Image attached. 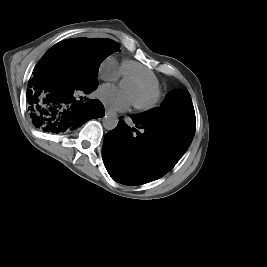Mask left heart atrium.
<instances>
[{"mask_svg":"<svg viewBox=\"0 0 267 267\" xmlns=\"http://www.w3.org/2000/svg\"><path fill=\"white\" fill-rule=\"evenodd\" d=\"M99 96L114 111L124 110L133 102V98L127 90H120L111 85L102 86Z\"/></svg>","mask_w":267,"mask_h":267,"instance_id":"1","label":"left heart atrium"}]
</instances>
